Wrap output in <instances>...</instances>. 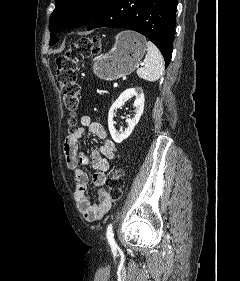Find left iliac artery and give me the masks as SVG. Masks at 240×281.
<instances>
[{
  "label": "left iliac artery",
  "mask_w": 240,
  "mask_h": 281,
  "mask_svg": "<svg viewBox=\"0 0 240 281\" xmlns=\"http://www.w3.org/2000/svg\"><path fill=\"white\" fill-rule=\"evenodd\" d=\"M106 237H107V240H108L112 250L115 251L117 249V244L114 240L112 224H109L108 227H107Z\"/></svg>",
  "instance_id": "obj_1"
}]
</instances>
